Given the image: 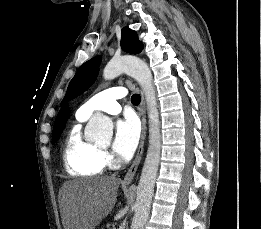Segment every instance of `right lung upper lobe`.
I'll use <instances>...</instances> for the list:
<instances>
[{
    "instance_id": "obj_1",
    "label": "right lung upper lobe",
    "mask_w": 261,
    "mask_h": 229,
    "mask_svg": "<svg viewBox=\"0 0 261 229\" xmlns=\"http://www.w3.org/2000/svg\"><path fill=\"white\" fill-rule=\"evenodd\" d=\"M68 117H69V108H68V104H65L59 111L54 125L65 124Z\"/></svg>"
}]
</instances>
